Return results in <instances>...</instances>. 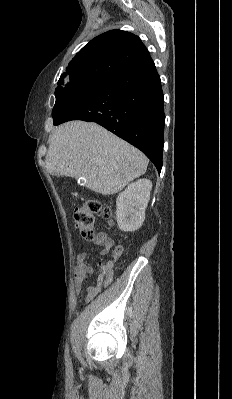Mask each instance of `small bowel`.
Listing matches in <instances>:
<instances>
[{
  "instance_id": "c3829d8e",
  "label": "small bowel",
  "mask_w": 232,
  "mask_h": 399,
  "mask_svg": "<svg viewBox=\"0 0 232 399\" xmlns=\"http://www.w3.org/2000/svg\"><path fill=\"white\" fill-rule=\"evenodd\" d=\"M111 247L110 242H105L100 245L97 251L98 255H104ZM89 257L88 252H80L77 259V265L74 268V279L73 284L76 294H79L82 284L85 278L92 273V267L87 264V259ZM93 295V287H88L86 289L87 298H91Z\"/></svg>"
}]
</instances>
